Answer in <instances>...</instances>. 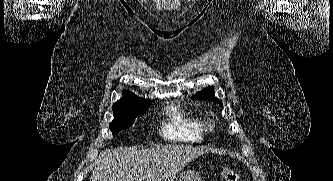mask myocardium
Wrapping results in <instances>:
<instances>
[{"label": "myocardium", "mask_w": 333, "mask_h": 181, "mask_svg": "<svg viewBox=\"0 0 333 181\" xmlns=\"http://www.w3.org/2000/svg\"><path fill=\"white\" fill-rule=\"evenodd\" d=\"M214 126H215V124H214L213 120H211V119H208L203 122V128L205 130H208V131L213 130Z\"/></svg>", "instance_id": "obj_1"}]
</instances>
